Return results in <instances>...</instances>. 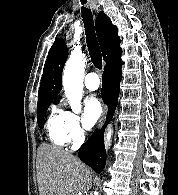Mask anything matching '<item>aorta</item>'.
Here are the masks:
<instances>
[{"mask_svg": "<svg viewBox=\"0 0 178 195\" xmlns=\"http://www.w3.org/2000/svg\"><path fill=\"white\" fill-rule=\"evenodd\" d=\"M86 58L82 53H72L66 62L63 72V88L71 109L78 113L81 110L83 77ZM112 135L111 127L107 129L105 142L108 146Z\"/></svg>", "mask_w": 178, "mask_h": 195, "instance_id": "obj_1", "label": "aorta"}]
</instances>
